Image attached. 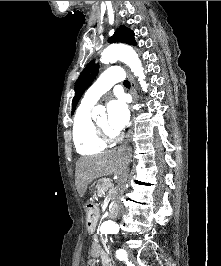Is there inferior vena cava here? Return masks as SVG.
I'll return each mask as SVG.
<instances>
[{
    "mask_svg": "<svg viewBox=\"0 0 221 266\" xmlns=\"http://www.w3.org/2000/svg\"><path fill=\"white\" fill-rule=\"evenodd\" d=\"M127 173H128V168H127V170H126V174L122 177V182H124L125 181V179H126V176H127Z\"/></svg>",
    "mask_w": 221,
    "mask_h": 266,
    "instance_id": "1",
    "label": "inferior vena cava"
}]
</instances>
